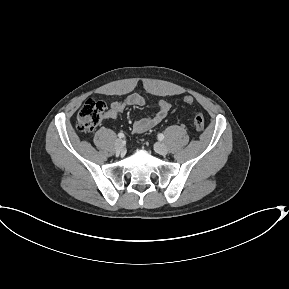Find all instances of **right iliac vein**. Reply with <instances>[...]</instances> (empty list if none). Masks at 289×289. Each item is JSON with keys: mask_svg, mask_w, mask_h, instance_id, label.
<instances>
[{"mask_svg": "<svg viewBox=\"0 0 289 289\" xmlns=\"http://www.w3.org/2000/svg\"><path fill=\"white\" fill-rule=\"evenodd\" d=\"M115 150L117 153H122L125 150L124 142L121 139H118L115 143Z\"/></svg>", "mask_w": 289, "mask_h": 289, "instance_id": "right-iliac-vein-1", "label": "right iliac vein"}]
</instances>
